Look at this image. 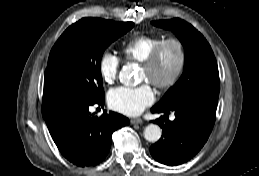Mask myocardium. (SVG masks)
<instances>
[{"label": "myocardium", "instance_id": "f54148a6", "mask_svg": "<svg viewBox=\"0 0 259 176\" xmlns=\"http://www.w3.org/2000/svg\"><path fill=\"white\" fill-rule=\"evenodd\" d=\"M169 45L175 46L178 51V62L174 72L166 79L155 77L150 81L156 88L161 91H168L173 88L178 83L184 72L187 56L183 42L175 37L163 39L153 49L148 57L141 62L142 67L151 72H155L164 49Z\"/></svg>", "mask_w": 259, "mask_h": 176}]
</instances>
